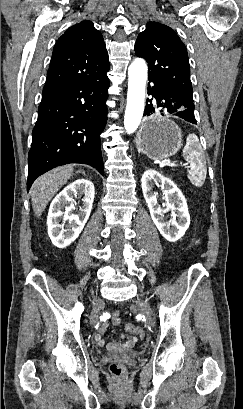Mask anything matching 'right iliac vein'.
Returning <instances> with one entry per match:
<instances>
[{
    "instance_id": "1",
    "label": "right iliac vein",
    "mask_w": 243,
    "mask_h": 409,
    "mask_svg": "<svg viewBox=\"0 0 243 409\" xmlns=\"http://www.w3.org/2000/svg\"><path fill=\"white\" fill-rule=\"evenodd\" d=\"M96 321H97V311L94 310L93 313H92V315H91L90 322H91V324L93 325V324L96 323Z\"/></svg>"
}]
</instances>
